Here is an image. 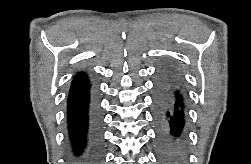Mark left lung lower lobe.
<instances>
[{
    "label": "left lung lower lobe",
    "mask_w": 251,
    "mask_h": 164,
    "mask_svg": "<svg viewBox=\"0 0 251 164\" xmlns=\"http://www.w3.org/2000/svg\"><path fill=\"white\" fill-rule=\"evenodd\" d=\"M155 118L163 159L169 163L180 162L184 155V94L177 72L170 67H164L158 73L155 85Z\"/></svg>",
    "instance_id": "obj_1"
}]
</instances>
